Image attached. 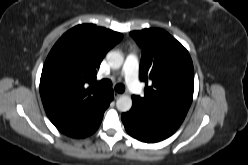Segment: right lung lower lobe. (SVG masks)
Listing matches in <instances>:
<instances>
[{"label": "right lung lower lobe", "instance_id": "1", "mask_svg": "<svg viewBox=\"0 0 248 165\" xmlns=\"http://www.w3.org/2000/svg\"><path fill=\"white\" fill-rule=\"evenodd\" d=\"M112 100L113 90L110 89L107 100L93 115H91L89 118L82 121L81 123L73 127L64 129L61 132L73 138H83L93 134L98 129L102 121L103 114Z\"/></svg>", "mask_w": 248, "mask_h": 165}]
</instances>
